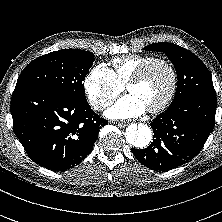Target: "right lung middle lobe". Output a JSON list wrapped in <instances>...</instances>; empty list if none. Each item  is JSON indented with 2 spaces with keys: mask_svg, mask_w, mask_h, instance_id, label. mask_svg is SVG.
Returning <instances> with one entry per match:
<instances>
[{
  "mask_svg": "<svg viewBox=\"0 0 222 222\" xmlns=\"http://www.w3.org/2000/svg\"><path fill=\"white\" fill-rule=\"evenodd\" d=\"M94 60L91 52L79 49L45 54L25 67L15 89L42 88L86 100L83 81Z\"/></svg>",
  "mask_w": 222,
  "mask_h": 222,
  "instance_id": "obj_1",
  "label": "right lung middle lobe"
}]
</instances>
